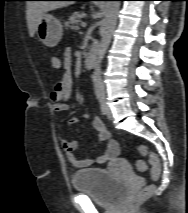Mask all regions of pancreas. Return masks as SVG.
<instances>
[{
  "label": "pancreas",
  "instance_id": "obj_1",
  "mask_svg": "<svg viewBox=\"0 0 188 213\" xmlns=\"http://www.w3.org/2000/svg\"><path fill=\"white\" fill-rule=\"evenodd\" d=\"M81 21V14L79 12H74L69 16L68 21L65 22V27L70 28L72 30H77L78 24Z\"/></svg>",
  "mask_w": 188,
  "mask_h": 213
}]
</instances>
